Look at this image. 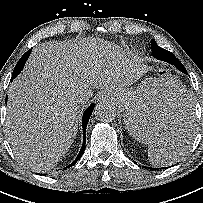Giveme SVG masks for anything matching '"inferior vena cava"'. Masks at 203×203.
<instances>
[{"mask_svg":"<svg viewBox=\"0 0 203 203\" xmlns=\"http://www.w3.org/2000/svg\"><path fill=\"white\" fill-rule=\"evenodd\" d=\"M83 102H85V99L84 98H80L79 99V103H83Z\"/></svg>","mask_w":203,"mask_h":203,"instance_id":"602c4592","label":"inferior vena cava"}]
</instances>
